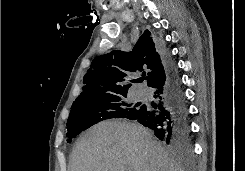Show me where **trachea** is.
<instances>
[{"mask_svg": "<svg viewBox=\"0 0 245 171\" xmlns=\"http://www.w3.org/2000/svg\"><path fill=\"white\" fill-rule=\"evenodd\" d=\"M144 79H146V77H145V76H143V78H141V79H140V81H143Z\"/></svg>", "mask_w": 245, "mask_h": 171, "instance_id": "trachea-1", "label": "trachea"}]
</instances>
